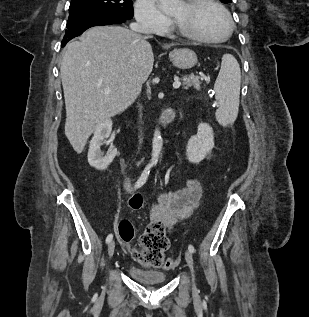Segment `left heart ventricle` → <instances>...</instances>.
I'll return each instance as SVG.
<instances>
[{"instance_id": "1", "label": "left heart ventricle", "mask_w": 309, "mask_h": 317, "mask_svg": "<svg viewBox=\"0 0 309 317\" xmlns=\"http://www.w3.org/2000/svg\"><path fill=\"white\" fill-rule=\"evenodd\" d=\"M171 15L184 29L196 35L220 38L227 32L228 25L224 15L211 5L190 11L181 3Z\"/></svg>"}]
</instances>
